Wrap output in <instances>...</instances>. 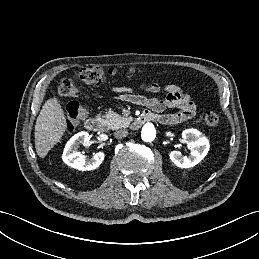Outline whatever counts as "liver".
Instances as JSON below:
<instances>
[{"instance_id":"liver-1","label":"liver","mask_w":259,"mask_h":259,"mask_svg":"<svg viewBox=\"0 0 259 259\" xmlns=\"http://www.w3.org/2000/svg\"><path fill=\"white\" fill-rule=\"evenodd\" d=\"M66 116L56 97L48 99L36 119L35 148L37 155L44 158L66 131Z\"/></svg>"}]
</instances>
